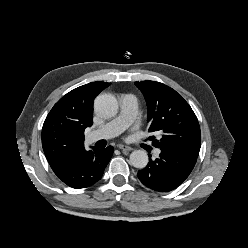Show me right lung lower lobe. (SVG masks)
I'll list each match as a JSON object with an SVG mask.
<instances>
[{
  "label": "right lung lower lobe",
  "mask_w": 248,
  "mask_h": 248,
  "mask_svg": "<svg viewBox=\"0 0 248 248\" xmlns=\"http://www.w3.org/2000/svg\"><path fill=\"white\" fill-rule=\"evenodd\" d=\"M113 154V148L84 150L57 176L72 188H86L101 179L103 171Z\"/></svg>",
  "instance_id": "1"
}]
</instances>
